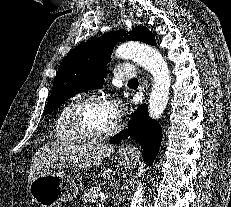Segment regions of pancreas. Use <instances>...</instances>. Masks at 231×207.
<instances>
[{"mask_svg":"<svg viewBox=\"0 0 231 207\" xmlns=\"http://www.w3.org/2000/svg\"><path fill=\"white\" fill-rule=\"evenodd\" d=\"M104 190L99 187L90 188L82 196V201L84 204H93L100 201V196L103 194Z\"/></svg>","mask_w":231,"mask_h":207,"instance_id":"obj_1","label":"pancreas"}]
</instances>
